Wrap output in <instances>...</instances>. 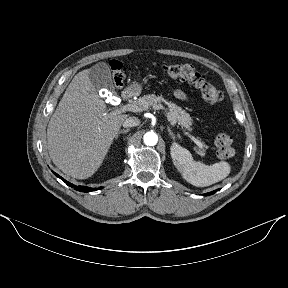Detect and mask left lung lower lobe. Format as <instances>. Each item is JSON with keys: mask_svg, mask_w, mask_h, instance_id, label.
Listing matches in <instances>:
<instances>
[{"mask_svg": "<svg viewBox=\"0 0 288 288\" xmlns=\"http://www.w3.org/2000/svg\"><path fill=\"white\" fill-rule=\"evenodd\" d=\"M219 189H217V190H215V191H212V192H209V193H206L205 194V196H207V195H212V194H214L215 192H217Z\"/></svg>", "mask_w": 288, "mask_h": 288, "instance_id": "obj_1", "label": "left lung lower lobe"}]
</instances>
